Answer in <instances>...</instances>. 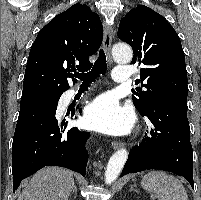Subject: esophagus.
I'll use <instances>...</instances> for the list:
<instances>
[{
  "mask_svg": "<svg viewBox=\"0 0 201 200\" xmlns=\"http://www.w3.org/2000/svg\"><path fill=\"white\" fill-rule=\"evenodd\" d=\"M103 27H104L103 47L107 54L109 63H112L111 43H112V37H113V29H112V26L106 22L104 23ZM122 146H123L122 142L114 141L112 143L113 149H119Z\"/></svg>",
  "mask_w": 201,
  "mask_h": 200,
  "instance_id": "obj_1",
  "label": "esophagus"
}]
</instances>
